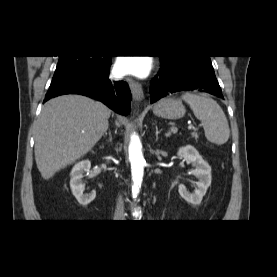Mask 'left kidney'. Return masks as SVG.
<instances>
[{
	"instance_id": "obj_1",
	"label": "left kidney",
	"mask_w": 277,
	"mask_h": 277,
	"mask_svg": "<svg viewBox=\"0 0 277 277\" xmlns=\"http://www.w3.org/2000/svg\"><path fill=\"white\" fill-rule=\"evenodd\" d=\"M177 155L187 163H191L195 168L191 173L198 179L196 182L197 189L194 193L187 191L185 185L180 184L178 187L179 194L189 203L198 205L201 203L203 196L206 194L211 184V167L203 160L199 152L191 145L179 148Z\"/></svg>"
}]
</instances>
